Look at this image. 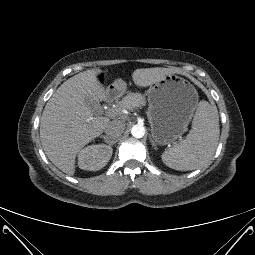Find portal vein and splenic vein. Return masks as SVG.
I'll list each match as a JSON object with an SVG mask.
<instances>
[{
  "label": "portal vein and splenic vein",
  "instance_id": "18ae733b",
  "mask_svg": "<svg viewBox=\"0 0 255 255\" xmlns=\"http://www.w3.org/2000/svg\"><path fill=\"white\" fill-rule=\"evenodd\" d=\"M113 114H115V112H114V111H112V112H108V115H113Z\"/></svg>",
  "mask_w": 255,
  "mask_h": 255
}]
</instances>
